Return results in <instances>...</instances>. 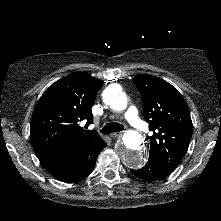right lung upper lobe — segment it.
<instances>
[{"label":"right lung upper lobe","instance_id":"right-lung-upper-lobe-1","mask_svg":"<svg viewBox=\"0 0 221 221\" xmlns=\"http://www.w3.org/2000/svg\"><path fill=\"white\" fill-rule=\"evenodd\" d=\"M103 81L84 71L71 73L52 84L33 112L30 136L40 160L61 157L101 139L79 123L93 122L91 107Z\"/></svg>","mask_w":221,"mask_h":221}]
</instances>
